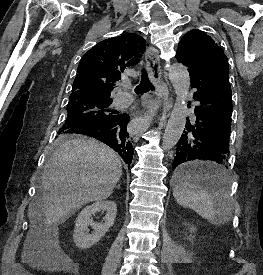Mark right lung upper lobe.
Instances as JSON below:
<instances>
[{"instance_id": "right-lung-upper-lobe-1", "label": "right lung upper lobe", "mask_w": 263, "mask_h": 275, "mask_svg": "<svg viewBox=\"0 0 263 275\" xmlns=\"http://www.w3.org/2000/svg\"><path fill=\"white\" fill-rule=\"evenodd\" d=\"M145 48V40L135 33L99 42L83 55L70 97L93 94L110 98L114 82L121 79V72L126 67L140 61Z\"/></svg>"}]
</instances>
